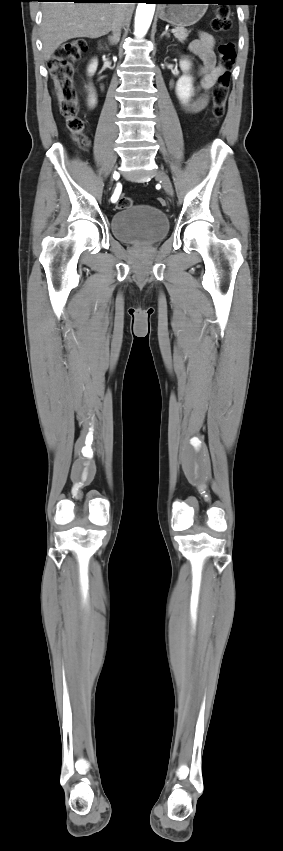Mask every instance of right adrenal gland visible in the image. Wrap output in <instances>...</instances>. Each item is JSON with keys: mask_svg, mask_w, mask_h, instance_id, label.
<instances>
[{"mask_svg": "<svg viewBox=\"0 0 283 851\" xmlns=\"http://www.w3.org/2000/svg\"><path fill=\"white\" fill-rule=\"evenodd\" d=\"M119 40H120V37H118L117 39H115L112 36L108 37V41H109L110 45H116L119 42Z\"/></svg>", "mask_w": 283, "mask_h": 851, "instance_id": "obj_1", "label": "right adrenal gland"}]
</instances>
